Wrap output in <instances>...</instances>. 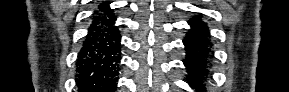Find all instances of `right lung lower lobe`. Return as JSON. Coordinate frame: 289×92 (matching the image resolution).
I'll return each mask as SVG.
<instances>
[{
  "mask_svg": "<svg viewBox=\"0 0 289 92\" xmlns=\"http://www.w3.org/2000/svg\"><path fill=\"white\" fill-rule=\"evenodd\" d=\"M76 63L79 92H113L120 62L121 35L109 3L99 5Z\"/></svg>",
  "mask_w": 289,
  "mask_h": 92,
  "instance_id": "right-lung-lower-lobe-1",
  "label": "right lung lower lobe"
}]
</instances>
